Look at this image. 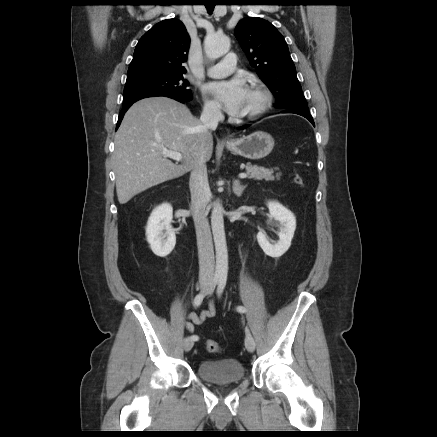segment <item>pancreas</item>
Returning <instances> with one entry per match:
<instances>
[{
  "label": "pancreas",
  "mask_w": 437,
  "mask_h": 437,
  "mask_svg": "<svg viewBox=\"0 0 437 437\" xmlns=\"http://www.w3.org/2000/svg\"><path fill=\"white\" fill-rule=\"evenodd\" d=\"M277 170V168H276ZM246 171L249 175V179H255V180H266V181H273L275 178L277 180L280 179L281 173H277L276 176L273 175L274 171L273 169H266L264 167L256 166L247 164L246 165Z\"/></svg>",
  "instance_id": "pancreas-1"
}]
</instances>
